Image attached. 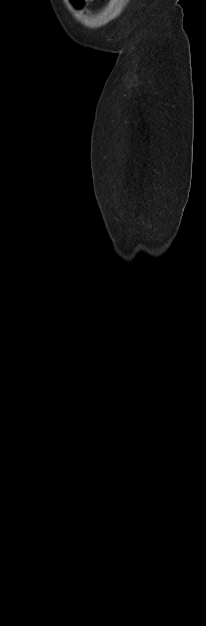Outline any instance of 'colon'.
<instances>
[{
	"instance_id": "1",
	"label": "colon",
	"mask_w": 206,
	"mask_h": 626,
	"mask_svg": "<svg viewBox=\"0 0 206 626\" xmlns=\"http://www.w3.org/2000/svg\"><path fill=\"white\" fill-rule=\"evenodd\" d=\"M89 0H72V3L77 7H83Z\"/></svg>"
}]
</instances>
